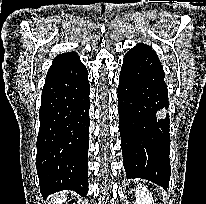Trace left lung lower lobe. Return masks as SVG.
Returning a JSON list of instances; mask_svg holds the SVG:
<instances>
[{"instance_id":"obj_1","label":"left lung lower lobe","mask_w":206,"mask_h":204,"mask_svg":"<svg viewBox=\"0 0 206 204\" xmlns=\"http://www.w3.org/2000/svg\"><path fill=\"white\" fill-rule=\"evenodd\" d=\"M159 59L135 67L124 57L118 86L119 131L128 179L144 178L167 189L170 180L168 90Z\"/></svg>"}]
</instances>
